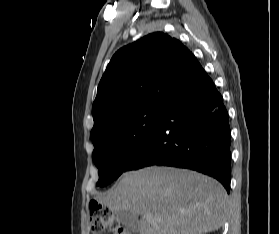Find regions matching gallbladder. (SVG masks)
<instances>
[{"instance_id": "bac80fb5", "label": "gallbladder", "mask_w": 279, "mask_h": 234, "mask_svg": "<svg viewBox=\"0 0 279 234\" xmlns=\"http://www.w3.org/2000/svg\"><path fill=\"white\" fill-rule=\"evenodd\" d=\"M115 217L130 231L137 232V219L129 211H115Z\"/></svg>"}]
</instances>
